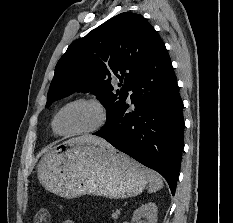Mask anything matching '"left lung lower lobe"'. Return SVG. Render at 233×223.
I'll return each instance as SVG.
<instances>
[{
  "label": "left lung lower lobe",
  "mask_w": 233,
  "mask_h": 223,
  "mask_svg": "<svg viewBox=\"0 0 233 223\" xmlns=\"http://www.w3.org/2000/svg\"><path fill=\"white\" fill-rule=\"evenodd\" d=\"M132 112L125 104L93 133L160 173L174 195L184 145L183 103L170 57L161 38L132 88Z\"/></svg>",
  "instance_id": "obj_1"
}]
</instances>
